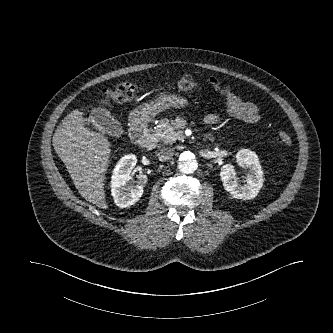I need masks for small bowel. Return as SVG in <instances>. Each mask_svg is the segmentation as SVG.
<instances>
[{
  "label": "small bowel",
  "instance_id": "small-bowel-1",
  "mask_svg": "<svg viewBox=\"0 0 333 333\" xmlns=\"http://www.w3.org/2000/svg\"><path fill=\"white\" fill-rule=\"evenodd\" d=\"M207 82L214 88L220 89V93L226 98L228 110L234 117L248 122L259 119V111L254 103L242 101L227 90L220 88L219 83L214 79H209ZM205 122L216 125L219 123V118L216 115H208L205 117Z\"/></svg>",
  "mask_w": 333,
  "mask_h": 333
}]
</instances>
